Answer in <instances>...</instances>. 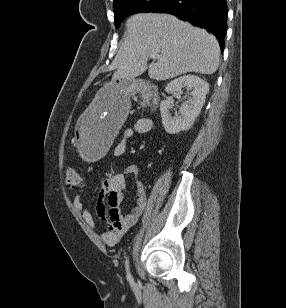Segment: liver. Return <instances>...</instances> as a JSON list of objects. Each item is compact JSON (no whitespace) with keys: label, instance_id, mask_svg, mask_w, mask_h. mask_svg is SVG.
<instances>
[{"label":"liver","instance_id":"1","mask_svg":"<svg viewBox=\"0 0 286 308\" xmlns=\"http://www.w3.org/2000/svg\"><path fill=\"white\" fill-rule=\"evenodd\" d=\"M127 37L109 70L112 80H133L147 69L153 50L157 59L148 71L150 78L163 81L188 72L211 75L219 67L220 48L215 36L168 14L142 13L126 23Z\"/></svg>","mask_w":286,"mask_h":308}]
</instances>
